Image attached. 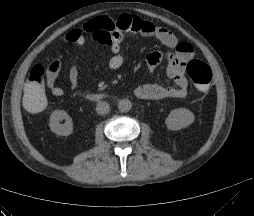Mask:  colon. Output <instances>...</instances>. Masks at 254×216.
I'll use <instances>...</instances> for the list:
<instances>
[{
	"mask_svg": "<svg viewBox=\"0 0 254 216\" xmlns=\"http://www.w3.org/2000/svg\"><path fill=\"white\" fill-rule=\"evenodd\" d=\"M88 35L101 43H109L110 35L105 31H90ZM59 60H53L48 68L58 70ZM47 68V69H48ZM46 68L42 65H35L28 76L24 87V104L26 109L34 114L44 112L49 104L47 94L43 90V77ZM187 74L199 91L208 90L212 81V70L210 66L202 60L191 59L187 64Z\"/></svg>",
	"mask_w": 254,
	"mask_h": 216,
	"instance_id": "1",
	"label": "colon"
}]
</instances>
